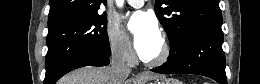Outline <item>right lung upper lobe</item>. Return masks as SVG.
Instances as JSON below:
<instances>
[{"label": "right lung upper lobe", "instance_id": "obj_1", "mask_svg": "<svg viewBox=\"0 0 260 84\" xmlns=\"http://www.w3.org/2000/svg\"><path fill=\"white\" fill-rule=\"evenodd\" d=\"M48 28L98 13L106 0H50Z\"/></svg>", "mask_w": 260, "mask_h": 84}]
</instances>
